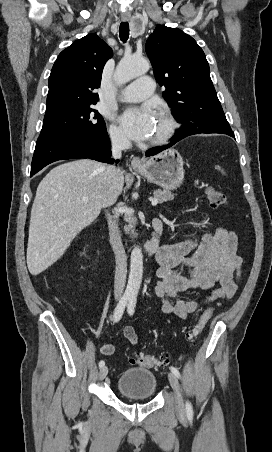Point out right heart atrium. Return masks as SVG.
<instances>
[{"instance_id":"obj_1","label":"right heart atrium","mask_w":272,"mask_h":452,"mask_svg":"<svg viewBox=\"0 0 272 452\" xmlns=\"http://www.w3.org/2000/svg\"><path fill=\"white\" fill-rule=\"evenodd\" d=\"M109 136L112 143L117 146L123 147L128 144V138L124 131L114 124L109 126Z\"/></svg>"}]
</instances>
